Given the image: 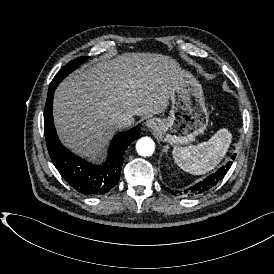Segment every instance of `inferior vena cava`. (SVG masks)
<instances>
[{
    "instance_id": "obj_1",
    "label": "inferior vena cava",
    "mask_w": 274,
    "mask_h": 274,
    "mask_svg": "<svg viewBox=\"0 0 274 274\" xmlns=\"http://www.w3.org/2000/svg\"><path fill=\"white\" fill-rule=\"evenodd\" d=\"M135 119L132 115H121L120 118L116 121L117 128L122 129L131 126L134 124Z\"/></svg>"
}]
</instances>
